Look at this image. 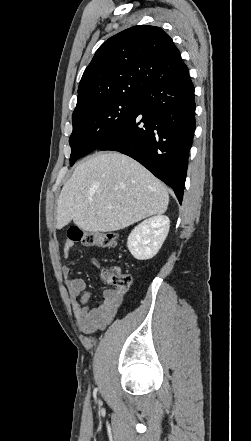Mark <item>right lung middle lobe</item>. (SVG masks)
Returning <instances> with one entry per match:
<instances>
[{
	"instance_id": "right-lung-middle-lobe-1",
	"label": "right lung middle lobe",
	"mask_w": 251,
	"mask_h": 441,
	"mask_svg": "<svg viewBox=\"0 0 251 441\" xmlns=\"http://www.w3.org/2000/svg\"><path fill=\"white\" fill-rule=\"evenodd\" d=\"M141 95L109 97L92 102L72 115L70 165L94 151L117 131L137 108Z\"/></svg>"
}]
</instances>
